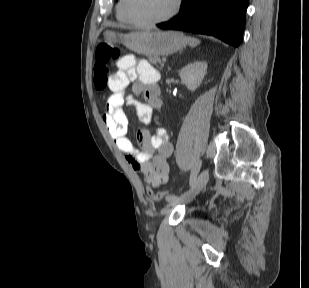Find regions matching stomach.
<instances>
[{
	"label": "stomach",
	"mask_w": 309,
	"mask_h": 288,
	"mask_svg": "<svg viewBox=\"0 0 309 288\" xmlns=\"http://www.w3.org/2000/svg\"><path fill=\"white\" fill-rule=\"evenodd\" d=\"M104 37L108 42L122 43L131 51L148 57L168 55L187 44L186 37L178 31H136L123 34L107 29Z\"/></svg>",
	"instance_id": "obj_1"
}]
</instances>
